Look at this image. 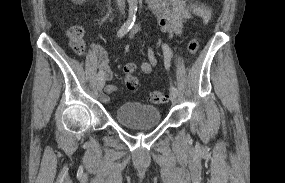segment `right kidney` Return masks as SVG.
<instances>
[{
    "instance_id": "1",
    "label": "right kidney",
    "mask_w": 285,
    "mask_h": 183,
    "mask_svg": "<svg viewBox=\"0 0 285 183\" xmlns=\"http://www.w3.org/2000/svg\"><path fill=\"white\" fill-rule=\"evenodd\" d=\"M86 0H72V2L76 3V4H82L83 2H85Z\"/></svg>"
}]
</instances>
